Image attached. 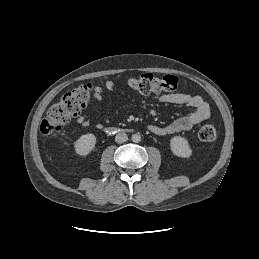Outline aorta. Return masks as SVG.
<instances>
[{
  "label": "aorta",
  "instance_id": "aorta-1",
  "mask_svg": "<svg viewBox=\"0 0 259 259\" xmlns=\"http://www.w3.org/2000/svg\"><path fill=\"white\" fill-rule=\"evenodd\" d=\"M132 141L135 143H138L141 141V135L139 133L133 134L132 135Z\"/></svg>",
  "mask_w": 259,
  "mask_h": 259
}]
</instances>
